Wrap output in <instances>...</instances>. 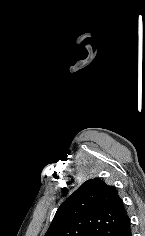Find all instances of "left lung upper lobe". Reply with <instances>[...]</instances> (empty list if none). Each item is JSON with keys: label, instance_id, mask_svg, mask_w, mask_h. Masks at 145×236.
I'll return each mask as SVG.
<instances>
[{"label": "left lung upper lobe", "instance_id": "5c2ea615", "mask_svg": "<svg viewBox=\"0 0 145 236\" xmlns=\"http://www.w3.org/2000/svg\"><path fill=\"white\" fill-rule=\"evenodd\" d=\"M129 223L116 188L90 179L60 205L45 236H119Z\"/></svg>", "mask_w": 145, "mask_h": 236}]
</instances>
